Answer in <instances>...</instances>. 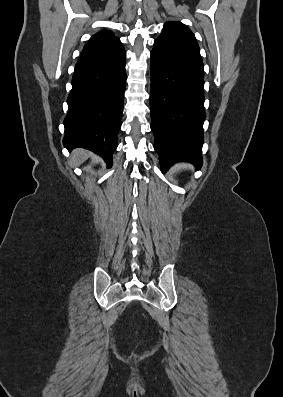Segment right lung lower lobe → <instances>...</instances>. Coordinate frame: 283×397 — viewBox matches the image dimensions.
I'll list each match as a JSON object with an SVG mask.
<instances>
[{"instance_id": "98d812e1", "label": "right lung lower lobe", "mask_w": 283, "mask_h": 397, "mask_svg": "<svg viewBox=\"0 0 283 397\" xmlns=\"http://www.w3.org/2000/svg\"><path fill=\"white\" fill-rule=\"evenodd\" d=\"M125 58L110 64L75 70L64 119L63 144L68 150L89 149L112 165L121 128L126 86Z\"/></svg>"}]
</instances>
